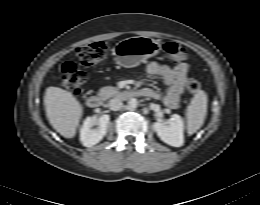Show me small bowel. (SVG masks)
<instances>
[{
	"label": "small bowel",
	"mask_w": 260,
	"mask_h": 205,
	"mask_svg": "<svg viewBox=\"0 0 260 205\" xmlns=\"http://www.w3.org/2000/svg\"><path fill=\"white\" fill-rule=\"evenodd\" d=\"M146 71L149 76L161 79L166 87V92L160 94L156 90L146 87L141 89L142 96L159 99L171 109L178 108L188 83L189 65L181 63L171 67L167 64L150 62Z\"/></svg>",
	"instance_id": "1"
}]
</instances>
